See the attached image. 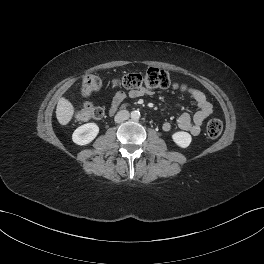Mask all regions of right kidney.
I'll list each match as a JSON object with an SVG mask.
<instances>
[{
	"label": "right kidney",
	"mask_w": 264,
	"mask_h": 264,
	"mask_svg": "<svg viewBox=\"0 0 264 264\" xmlns=\"http://www.w3.org/2000/svg\"><path fill=\"white\" fill-rule=\"evenodd\" d=\"M99 133V127L95 123H87L78 127L73 135L72 140L78 145H87L92 142Z\"/></svg>",
	"instance_id": "ca27d5eb"
}]
</instances>
